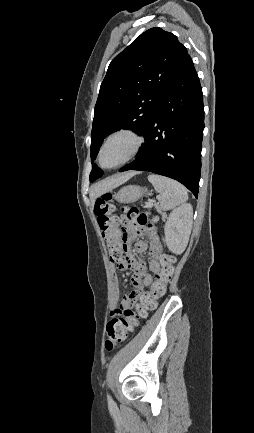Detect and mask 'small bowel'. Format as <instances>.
I'll list each match as a JSON object with an SVG mask.
<instances>
[{
  "label": "small bowel",
  "instance_id": "small-bowel-1",
  "mask_svg": "<svg viewBox=\"0 0 254 433\" xmlns=\"http://www.w3.org/2000/svg\"><path fill=\"white\" fill-rule=\"evenodd\" d=\"M125 227L128 230V238L132 239L137 234L146 232L148 234L149 243L144 240H139L135 244V250L142 254L147 251L149 248L150 252V261H149V273H145L146 268L144 264L138 261L130 252V249H127L126 255L119 260L112 261L118 270L124 271L130 269L134 272V276L131 279V284L133 286V291L125 295L121 301V304H118L119 297V284L115 279L112 282V292H113V302L110 309V315H115L123 306H134L136 305L139 298L142 297L143 290L145 288H152L155 282V277L157 275L158 270L160 269L159 260L162 256V243L159 235L154 229L150 230H142L140 227H133L127 222H125Z\"/></svg>",
  "mask_w": 254,
  "mask_h": 433
}]
</instances>
